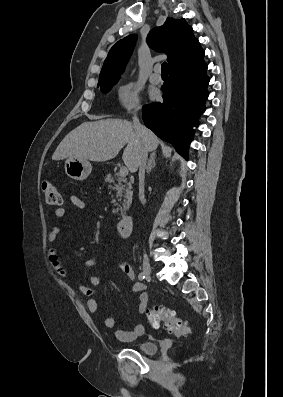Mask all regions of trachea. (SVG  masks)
Returning <instances> with one entry per match:
<instances>
[{"label": "trachea", "mask_w": 283, "mask_h": 397, "mask_svg": "<svg viewBox=\"0 0 283 397\" xmlns=\"http://www.w3.org/2000/svg\"><path fill=\"white\" fill-rule=\"evenodd\" d=\"M161 75H167V71H168V65L166 62H164L161 66Z\"/></svg>", "instance_id": "3493384b"}]
</instances>
